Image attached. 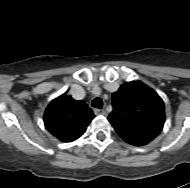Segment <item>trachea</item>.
<instances>
[{"label": "trachea", "mask_w": 190, "mask_h": 188, "mask_svg": "<svg viewBox=\"0 0 190 188\" xmlns=\"http://www.w3.org/2000/svg\"><path fill=\"white\" fill-rule=\"evenodd\" d=\"M92 107L94 108H98V109H101L102 106H103V101L101 98L99 97H96L92 100V103H91Z\"/></svg>", "instance_id": "3493384b"}]
</instances>
